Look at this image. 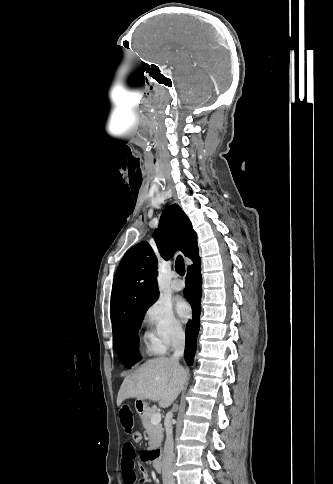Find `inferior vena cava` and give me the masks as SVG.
I'll return each mask as SVG.
<instances>
[{
    "instance_id": "inferior-vena-cava-1",
    "label": "inferior vena cava",
    "mask_w": 333,
    "mask_h": 484,
    "mask_svg": "<svg viewBox=\"0 0 333 484\" xmlns=\"http://www.w3.org/2000/svg\"><path fill=\"white\" fill-rule=\"evenodd\" d=\"M171 341H172V348L174 350V354L171 358L175 360H179V358L184 353V346H185V334L182 328H178L174 331ZM165 430H166V441L164 444L163 459H162V480H163V484H175V479L172 474L173 472L172 463H173V457H174L172 425L168 424Z\"/></svg>"
}]
</instances>
